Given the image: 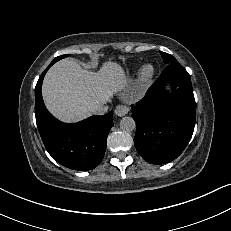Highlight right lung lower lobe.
Wrapping results in <instances>:
<instances>
[{"instance_id": "obj_1", "label": "right lung lower lobe", "mask_w": 231, "mask_h": 231, "mask_svg": "<svg viewBox=\"0 0 231 231\" xmlns=\"http://www.w3.org/2000/svg\"><path fill=\"white\" fill-rule=\"evenodd\" d=\"M35 87V116L42 141L48 153L61 165L80 171L97 167L104 156L108 133L113 126V111L103 116H92L75 124L55 119L46 109L41 93L47 70Z\"/></svg>"}]
</instances>
